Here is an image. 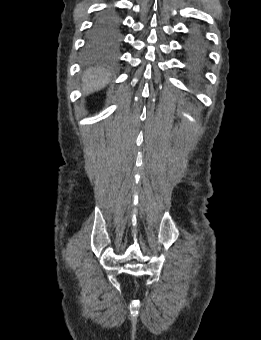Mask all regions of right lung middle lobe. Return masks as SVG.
Masks as SVG:
<instances>
[{"mask_svg": "<svg viewBox=\"0 0 261 340\" xmlns=\"http://www.w3.org/2000/svg\"><path fill=\"white\" fill-rule=\"evenodd\" d=\"M120 19L117 14L102 12L94 21L89 34L88 43L98 45L119 37Z\"/></svg>", "mask_w": 261, "mask_h": 340, "instance_id": "obj_1", "label": "right lung middle lobe"}]
</instances>
